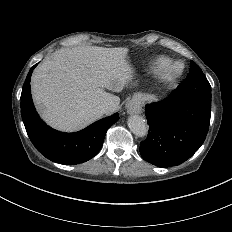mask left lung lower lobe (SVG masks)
Returning a JSON list of instances; mask_svg holds the SVG:
<instances>
[{
	"label": "left lung lower lobe",
	"instance_id": "1",
	"mask_svg": "<svg viewBox=\"0 0 232 232\" xmlns=\"http://www.w3.org/2000/svg\"><path fill=\"white\" fill-rule=\"evenodd\" d=\"M211 103L175 89L165 100L146 105L150 130L140 143L142 158L161 168L177 166L203 144Z\"/></svg>",
	"mask_w": 232,
	"mask_h": 232
}]
</instances>
